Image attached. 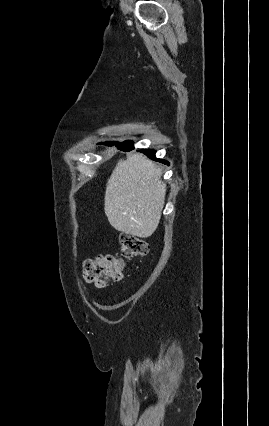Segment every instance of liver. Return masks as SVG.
Listing matches in <instances>:
<instances>
[{"label":"liver","mask_w":269,"mask_h":426,"mask_svg":"<svg viewBox=\"0 0 269 426\" xmlns=\"http://www.w3.org/2000/svg\"><path fill=\"white\" fill-rule=\"evenodd\" d=\"M161 175V169L140 153L118 161L104 199V211L113 228L140 238L154 233L166 195Z\"/></svg>","instance_id":"6515ba94"}]
</instances>
